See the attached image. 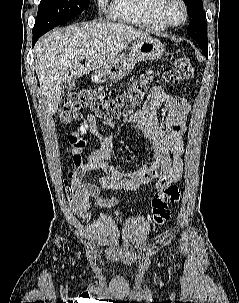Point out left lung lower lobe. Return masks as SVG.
Wrapping results in <instances>:
<instances>
[{
	"label": "left lung lower lobe",
	"instance_id": "0a47b994",
	"mask_svg": "<svg viewBox=\"0 0 239 303\" xmlns=\"http://www.w3.org/2000/svg\"><path fill=\"white\" fill-rule=\"evenodd\" d=\"M207 54H208V50H207V52L204 53V55L207 57Z\"/></svg>",
	"mask_w": 239,
	"mask_h": 303
}]
</instances>
